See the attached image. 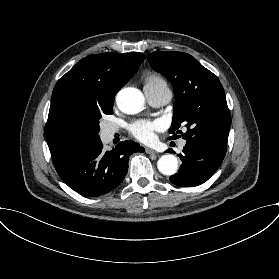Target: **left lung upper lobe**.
<instances>
[{
    "instance_id": "left-lung-upper-lobe-1",
    "label": "left lung upper lobe",
    "mask_w": 279,
    "mask_h": 279,
    "mask_svg": "<svg viewBox=\"0 0 279 279\" xmlns=\"http://www.w3.org/2000/svg\"><path fill=\"white\" fill-rule=\"evenodd\" d=\"M147 59L174 90L170 139L180 137L176 134L185 126L186 132L181 135L185 140L211 139L227 144L231 115L217 76L187 53L154 52Z\"/></svg>"
}]
</instances>
